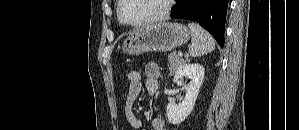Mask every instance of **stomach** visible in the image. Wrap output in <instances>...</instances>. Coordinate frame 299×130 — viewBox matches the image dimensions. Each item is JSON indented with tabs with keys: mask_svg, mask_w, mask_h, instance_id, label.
<instances>
[{
	"mask_svg": "<svg viewBox=\"0 0 299 130\" xmlns=\"http://www.w3.org/2000/svg\"><path fill=\"white\" fill-rule=\"evenodd\" d=\"M189 30L180 23H158L131 33L122 44V51L129 55L145 52H166L185 44Z\"/></svg>",
	"mask_w": 299,
	"mask_h": 130,
	"instance_id": "1",
	"label": "stomach"
}]
</instances>
